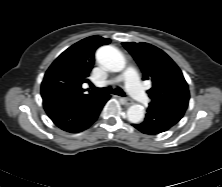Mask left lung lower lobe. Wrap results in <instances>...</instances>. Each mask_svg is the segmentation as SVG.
Segmentation results:
<instances>
[{
  "label": "left lung lower lobe",
  "instance_id": "obj_1",
  "mask_svg": "<svg viewBox=\"0 0 222 187\" xmlns=\"http://www.w3.org/2000/svg\"><path fill=\"white\" fill-rule=\"evenodd\" d=\"M187 107L188 102L177 100L149 103L144 121L132 126L149 135L165 132L183 117Z\"/></svg>",
  "mask_w": 222,
  "mask_h": 187
}]
</instances>
